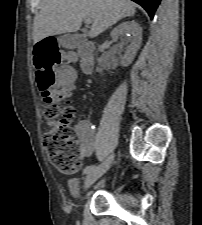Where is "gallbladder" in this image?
I'll return each instance as SVG.
<instances>
[{
  "label": "gallbladder",
  "mask_w": 202,
  "mask_h": 225,
  "mask_svg": "<svg viewBox=\"0 0 202 225\" xmlns=\"http://www.w3.org/2000/svg\"><path fill=\"white\" fill-rule=\"evenodd\" d=\"M83 42L82 35L67 33L58 37V43L61 47L66 49L78 48Z\"/></svg>",
  "instance_id": "obj_1"
}]
</instances>
